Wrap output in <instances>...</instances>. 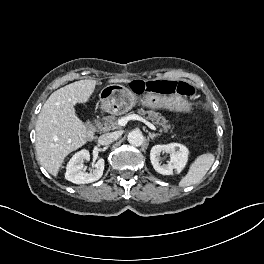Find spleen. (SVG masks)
<instances>
[{
    "label": "spleen",
    "mask_w": 264,
    "mask_h": 264,
    "mask_svg": "<svg viewBox=\"0 0 264 264\" xmlns=\"http://www.w3.org/2000/svg\"><path fill=\"white\" fill-rule=\"evenodd\" d=\"M215 161L212 153L202 154L190 165L187 174L180 180L179 186L187 187L198 184Z\"/></svg>",
    "instance_id": "obj_1"
}]
</instances>
